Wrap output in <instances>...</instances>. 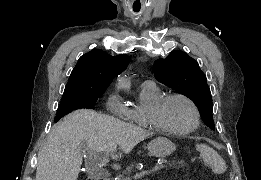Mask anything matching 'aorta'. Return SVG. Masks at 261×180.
Segmentation results:
<instances>
[{"label": "aorta", "mask_w": 261, "mask_h": 180, "mask_svg": "<svg viewBox=\"0 0 261 180\" xmlns=\"http://www.w3.org/2000/svg\"><path fill=\"white\" fill-rule=\"evenodd\" d=\"M120 87L122 88H129L130 87V83L127 80H122L120 81Z\"/></svg>", "instance_id": "1"}]
</instances>
